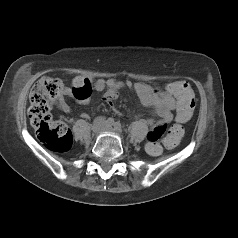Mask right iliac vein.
<instances>
[{
    "label": "right iliac vein",
    "mask_w": 238,
    "mask_h": 238,
    "mask_svg": "<svg viewBox=\"0 0 238 238\" xmlns=\"http://www.w3.org/2000/svg\"><path fill=\"white\" fill-rule=\"evenodd\" d=\"M102 129V124L100 122L96 123L94 126H93V134H98Z\"/></svg>",
    "instance_id": "63e3f726"
}]
</instances>
